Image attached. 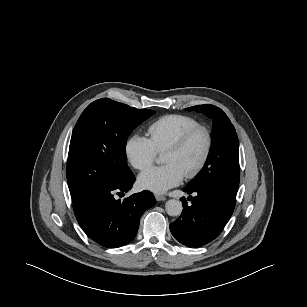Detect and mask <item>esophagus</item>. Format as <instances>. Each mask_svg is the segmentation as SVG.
I'll return each instance as SVG.
<instances>
[{
  "instance_id": "1",
  "label": "esophagus",
  "mask_w": 307,
  "mask_h": 307,
  "mask_svg": "<svg viewBox=\"0 0 307 307\" xmlns=\"http://www.w3.org/2000/svg\"><path fill=\"white\" fill-rule=\"evenodd\" d=\"M155 198L157 201H164L166 199V197L161 194H155Z\"/></svg>"
}]
</instances>
